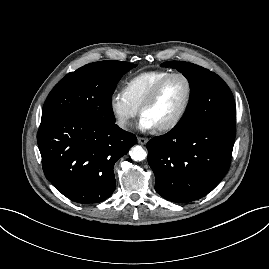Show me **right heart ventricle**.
I'll return each instance as SVG.
<instances>
[{"label":"right heart ventricle","mask_w":269,"mask_h":269,"mask_svg":"<svg viewBox=\"0 0 269 269\" xmlns=\"http://www.w3.org/2000/svg\"><path fill=\"white\" fill-rule=\"evenodd\" d=\"M170 73L166 70L141 72L125 83L124 92L129 101L139 110L152 88Z\"/></svg>","instance_id":"obj_1"}]
</instances>
